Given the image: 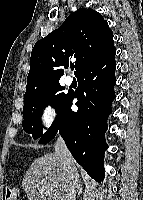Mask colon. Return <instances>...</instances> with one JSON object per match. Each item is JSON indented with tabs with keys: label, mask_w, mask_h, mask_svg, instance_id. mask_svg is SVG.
<instances>
[{
	"label": "colon",
	"mask_w": 143,
	"mask_h": 200,
	"mask_svg": "<svg viewBox=\"0 0 143 200\" xmlns=\"http://www.w3.org/2000/svg\"><path fill=\"white\" fill-rule=\"evenodd\" d=\"M6 200H17V190L13 187H9L6 190Z\"/></svg>",
	"instance_id": "1"
}]
</instances>
